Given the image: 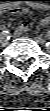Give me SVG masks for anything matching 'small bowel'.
I'll return each instance as SVG.
<instances>
[{"label": "small bowel", "instance_id": "1", "mask_svg": "<svg viewBox=\"0 0 50 111\" xmlns=\"http://www.w3.org/2000/svg\"><path fill=\"white\" fill-rule=\"evenodd\" d=\"M13 11L17 12L18 14H27L29 12V9L26 7H16L13 9ZM49 22V18H44L41 20V25H46ZM28 31V26L26 24H22L15 30V36H21L23 33Z\"/></svg>", "mask_w": 50, "mask_h": 111}]
</instances>
